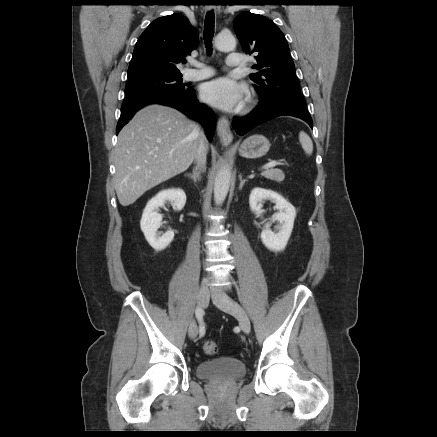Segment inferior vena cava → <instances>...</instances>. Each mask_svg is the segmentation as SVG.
Segmentation results:
<instances>
[{"label": "inferior vena cava", "mask_w": 437, "mask_h": 437, "mask_svg": "<svg viewBox=\"0 0 437 437\" xmlns=\"http://www.w3.org/2000/svg\"><path fill=\"white\" fill-rule=\"evenodd\" d=\"M208 151V144L206 142V137L204 133L202 132V138L200 141L199 148L197 150V155L195 157V161L197 162L198 166L204 170L205 164H206V156Z\"/></svg>", "instance_id": "obj_1"}]
</instances>
